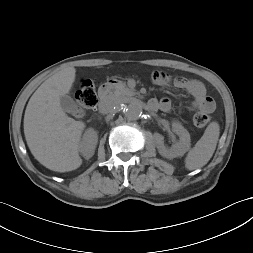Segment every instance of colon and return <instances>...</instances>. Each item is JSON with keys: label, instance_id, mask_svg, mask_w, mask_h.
Segmentation results:
<instances>
[{"label": "colon", "instance_id": "1", "mask_svg": "<svg viewBox=\"0 0 253 253\" xmlns=\"http://www.w3.org/2000/svg\"><path fill=\"white\" fill-rule=\"evenodd\" d=\"M76 99L77 112L79 114H83L96 106L98 101L97 94L94 83L91 80L87 79L82 82L81 88L77 92ZM209 120L208 113L198 112L193 117V124L196 128L202 129L208 124Z\"/></svg>", "mask_w": 253, "mask_h": 253}]
</instances>
